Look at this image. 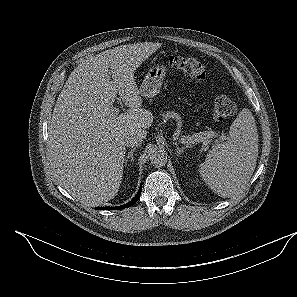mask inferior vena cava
Here are the masks:
<instances>
[{
	"label": "inferior vena cava",
	"mask_w": 297,
	"mask_h": 297,
	"mask_svg": "<svg viewBox=\"0 0 297 297\" xmlns=\"http://www.w3.org/2000/svg\"><path fill=\"white\" fill-rule=\"evenodd\" d=\"M145 137L141 133H131L125 137V146L127 147H137L140 146Z\"/></svg>",
	"instance_id": "inferior-vena-cava-1"
}]
</instances>
